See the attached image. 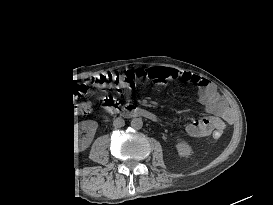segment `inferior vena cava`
Returning a JSON list of instances; mask_svg holds the SVG:
<instances>
[{
  "label": "inferior vena cava",
  "instance_id": "inferior-vena-cava-1",
  "mask_svg": "<svg viewBox=\"0 0 273 205\" xmlns=\"http://www.w3.org/2000/svg\"><path fill=\"white\" fill-rule=\"evenodd\" d=\"M125 125V122L124 120L121 118V117H118L116 118L114 121H113V126L115 128H121Z\"/></svg>",
  "mask_w": 273,
  "mask_h": 205
}]
</instances>
